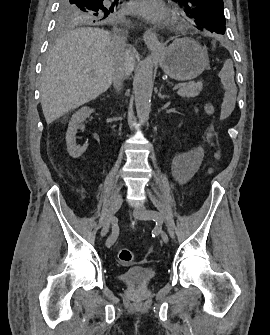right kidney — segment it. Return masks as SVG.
Listing matches in <instances>:
<instances>
[{"mask_svg": "<svg viewBox=\"0 0 270 335\" xmlns=\"http://www.w3.org/2000/svg\"><path fill=\"white\" fill-rule=\"evenodd\" d=\"M92 112H94V110H90V108L84 106V108H80V110H77V112L73 114L68 124V130L66 132V144L67 152L69 156H72V158H79V156H82L85 150H87L88 144H84V146H77L75 142V136L77 134L78 128H81V122H84L86 118H89Z\"/></svg>", "mask_w": 270, "mask_h": 335, "instance_id": "right-kidney-1", "label": "right kidney"}]
</instances>
